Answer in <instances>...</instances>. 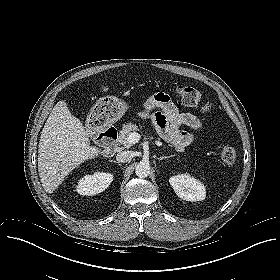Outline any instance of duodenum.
Listing matches in <instances>:
<instances>
[{
	"instance_id": "duodenum-1",
	"label": "duodenum",
	"mask_w": 280,
	"mask_h": 280,
	"mask_svg": "<svg viewBox=\"0 0 280 280\" xmlns=\"http://www.w3.org/2000/svg\"><path fill=\"white\" fill-rule=\"evenodd\" d=\"M100 137L104 142L103 153L107 156L112 155L116 147V140L118 137L117 127L109 125L100 132Z\"/></svg>"
}]
</instances>
